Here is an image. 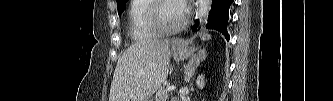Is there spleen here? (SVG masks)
I'll return each instance as SVG.
<instances>
[{
	"label": "spleen",
	"instance_id": "spleen-1",
	"mask_svg": "<svg viewBox=\"0 0 333 101\" xmlns=\"http://www.w3.org/2000/svg\"><path fill=\"white\" fill-rule=\"evenodd\" d=\"M210 38H211V36L208 35V34H204V35H203V39H210Z\"/></svg>",
	"mask_w": 333,
	"mask_h": 101
}]
</instances>
